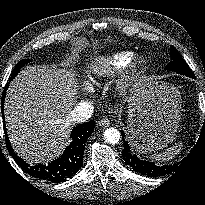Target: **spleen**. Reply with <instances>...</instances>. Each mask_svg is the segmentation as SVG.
Returning <instances> with one entry per match:
<instances>
[{
    "instance_id": "1",
    "label": "spleen",
    "mask_w": 205,
    "mask_h": 205,
    "mask_svg": "<svg viewBox=\"0 0 205 205\" xmlns=\"http://www.w3.org/2000/svg\"><path fill=\"white\" fill-rule=\"evenodd\" d=\"M180 151V147L179 146H172L171 148H169L167 151L161 153V154H155L152 155V159L156 160V161H166L169 159H172L173 157H175V155H177Z\"/></svg>"
}]
</instances>
